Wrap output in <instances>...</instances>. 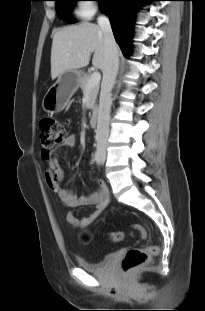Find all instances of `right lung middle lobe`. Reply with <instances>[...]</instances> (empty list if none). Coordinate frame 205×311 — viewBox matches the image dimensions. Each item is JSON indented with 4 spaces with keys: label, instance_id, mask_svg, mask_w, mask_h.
I'll list each match as a JSON object with an SVG mask.
<instances>
[{
    "label": "right lung middle lobe",
    "instance_id": "obj_1",
    "mask_svg": "<svg viewBox=\"0 0 205 311\" xmlns=\"http://www.w3.org/2000/svg\"><path fill=\"white\" fill-rule=\"evenodd\" d=\"M54 1H56V9L58 16L64 19L65 21L71 23L73 20L70 15V11L74 6L75 1L78 0H54Z\"/></svg>",
    "mask_w": 205,
    "mask_h": 311
}]
</instances>
